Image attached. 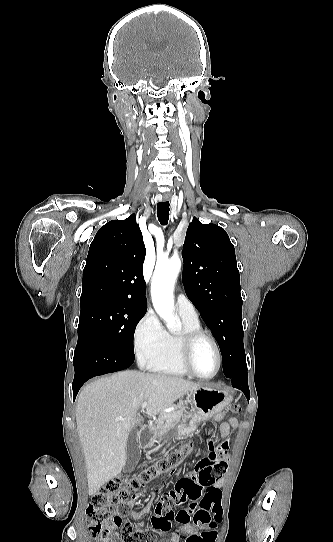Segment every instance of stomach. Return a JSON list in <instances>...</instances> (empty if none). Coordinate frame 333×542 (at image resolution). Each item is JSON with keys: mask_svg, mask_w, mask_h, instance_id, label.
Instances as JSON below:
<instances>
[{"mask_svg": "<svg viewBox=\"0 0 333 542\" xmlns=\"http://www.w3.org/2000/svg\"><path fill=\"white\" fill-rule=\"evenodd\" d=\"M190 404L192 406L191 418H186L189 422H182L177 426V430L173 433L174 439L181 438L182 440L191 441L199 436V424L207 422L216 414H220L225 406L231 402L232 398L227 392L215 390V388H199L189 392ZM155 436L153 432H146L143 440V448L153 446Z\"/></svg>", "mask_w": 333, "mask_h": 542, "instance_id": "0dacf381", "label": "stomach"}]
</instances>
